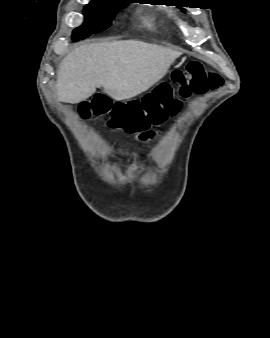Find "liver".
I'll return each instance as SVG.
<instances>
[{"mask_svg": "<svg viewBox=\"0 0 270 338\" xmlns=\"http://www.w3.org/2000/svg\"><path fill=\"white\" fill-rule=\"evenodd\" d=\"M180 55L179 51L135 40L82 45L60 64L58 100L79 103L100 87L116 101L130 99L162 79Z\"/></svg>", "mask_w": 270, "mask_h": 338, "instance_id": "1", "label": "liver"}]
</instances>
